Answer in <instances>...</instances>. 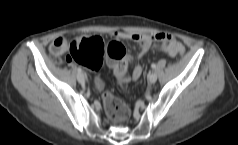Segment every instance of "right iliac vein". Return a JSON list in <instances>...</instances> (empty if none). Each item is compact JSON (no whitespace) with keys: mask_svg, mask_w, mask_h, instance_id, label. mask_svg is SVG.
Returning <instances> with one entry per match:
<instances>
[{"mask_svg":"<svg viewBox=\"0 0 238 145\" xmlns=\"http://www.w3.org/2000/svg\"><path fill=\"white\" fill-rule=\"evenodd\" d=\"M77 80H78L79 83H84V82H85V76H84V74L79 73V74L77 75Z\"/></svg>","mask_w":238,"mask_h":145,"instance_id":"63e3f726","label":"right iliac vein"}]
</instances>
